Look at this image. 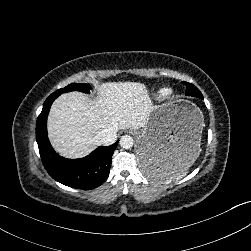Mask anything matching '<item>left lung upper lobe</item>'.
Wrapping results in <instances>:
<instances>
[{"mask_svg": "<svg viewBox=\"0 0 251 251\" xmlns=\"http://www.w3.org/2000/svg\"><path fill=\"white\" fill-rule=\"evenodd\" d=\"M184 85H186V95L188 96H194L200 99H203V95L199 91L197 87H195L193 84L188 82H182Z\"/></svg>", "mask_w": 251, "mask_h": 251, "instance_id": "5c2ea615", "label": "left lung upper lobe"}]
</instances>
